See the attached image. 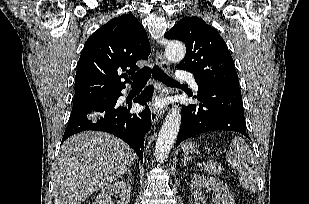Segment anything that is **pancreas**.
<instances>
[{"label":"pancreas","instance_id":"1","mask_svg":"<svg viewBox=\"0 0 309 204\" xmlns=\"http://www.w3.org/2000/svg\"><path fill=\"white\" fill-rule=\"evenodd\" d=\"M203 169L204 171H207L208 173L211 174H217V175L221 174V170L216 167L215 163H208L203 167Z\"/></svg>","mask_w":309,"mask_h":204}]
</instances>
